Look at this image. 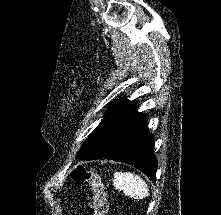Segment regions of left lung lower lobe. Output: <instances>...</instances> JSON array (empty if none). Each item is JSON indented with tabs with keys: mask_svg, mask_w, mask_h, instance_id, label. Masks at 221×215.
I'll use <instances>...</instances> for the list:
<instances>
[{
	"mask_svg": "<svg viewBox=\"0 0 221 215\" xmlns=\"http://www.w3.org/2000/svg\"><path fill=\"white\" fill-rule=\"evenodd\" d=\"M153 149L154 138L147 130L146 116L133 107L113 129L100 158L133 165L154 180L157 160Z\"/></svg>",
	"mask_w": 221,
	"mask_h": 215,
	"instance_id": "left-lung-lower-lobe-1",
	"label": "left lung lower lobe"
}]
</instances>
